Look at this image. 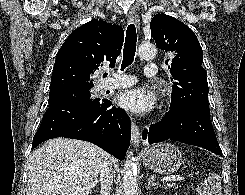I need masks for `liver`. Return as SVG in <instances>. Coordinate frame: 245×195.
Instances as JSON below:
<instances>
[{"mask_svg":"<svg viewBox=\"0 0 245 195\" xmlns=\"http://www.w3.org/2000/svg\"><path fill=\"white\" fill-rule=\"evenodd\" d=\"M107 159L117 167L116 159L92 143L51 139L29 157L26 195H88Z\"/></svg>","mask_w":245,"mask_h":195,"instance_id":"6515ba94","label":"liver"}]
</instances>
